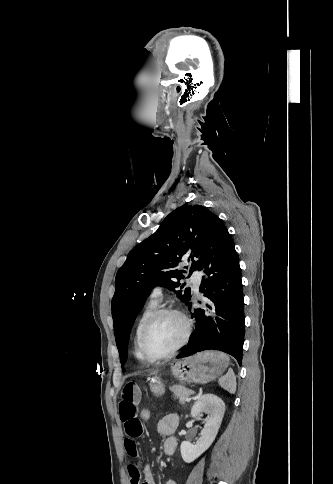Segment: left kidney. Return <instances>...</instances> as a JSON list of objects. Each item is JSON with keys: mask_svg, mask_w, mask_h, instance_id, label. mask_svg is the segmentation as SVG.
Instances as JSON below:
<instances>
[{"mask_svg": "<svg viewBox=\"0 0 333 484\" xmlns=\"http://www.w3.org/2000/svg\"><path fill=\"white\" fill-rule=\"evenodd\" d=\"M225 412L223 400L214 394L202 395L192 406L191 416L199 419L202 413L208 415L205 419L204 428L199 434L195 445L188 441L181 443L180 451L183 461L191 463L201 456L213 443L220 428Z\"/></svg>", "mask_w": 333, "mask_h": 484, "instance_id": "1", "label": "left kidney"}]
</instances>
